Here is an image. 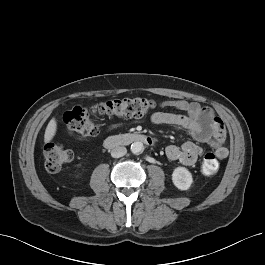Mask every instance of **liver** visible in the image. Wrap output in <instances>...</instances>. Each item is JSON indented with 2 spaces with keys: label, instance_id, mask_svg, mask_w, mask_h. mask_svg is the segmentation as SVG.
Wrapping results in <instances>:
<instances>
[{
  "label": "liver",
  "instance_id": "1",
  "mask_svg": "<svg viewBox=\"0 0 265 265\" xmlns=\"http://www.w3.org/2000/svg\"><path fill=\"white\" fill-rule=\"evenodd\" d=\"M56 130H57V122L55 118H52L50 122L48 123L46 130H45V134H44L45 143H48L53 139V137L56 134Z\"/></svg>",
  "mask_w": 265,
  "mask_h": 265
}]
</instances>
